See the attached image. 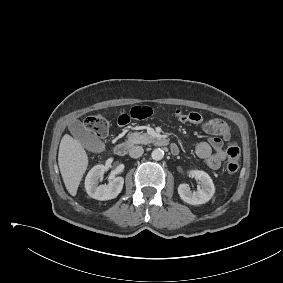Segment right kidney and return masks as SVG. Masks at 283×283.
Instances as JSON below:
<instances>
[{
  "label": "right kidney",
  "instance_id": "right-kidney-1",
  "mask_svg": "<svg viewBox=\"0 0 283 283\" xmlns=\"http://www.w3.org/2000/svg\"><path fill=\"white\" fill-rule=\"evenodd\" d=\"M107 168L104 165L94 166L85 179V189L87 194L94 199L105 201L116 198L122 191L124 178L116 177L107 185H99V180L105 174Z\"/></svg>",
  "mask_w": 283,
  "mask_h": 283
}]
</instances>
